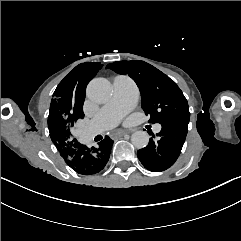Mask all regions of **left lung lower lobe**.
<instances>
[{"mask_svg": "<svg viewBox=\"0 0 241 241\" xmlns=\"http://www.w3.org/2000/svg\"><path fill=\"white\" fill-rule=\"evenodd\" d=\"M189 121H169L162 125L156 134L159 138L137 151V156L143 166L153 172H160L171 167L180 155L188 131ZM155 138V136L153 135Z\"/></svg>", "mask_w": 241, "mask_h": 241, "instance_id": "1", "label": "left lung lower lobe"}]
</instances>
